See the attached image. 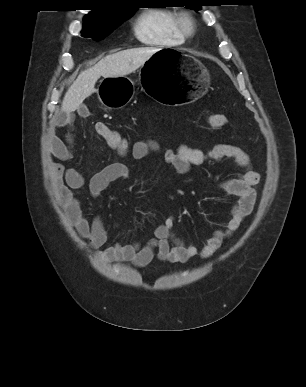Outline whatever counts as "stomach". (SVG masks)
Returning <instances> with one entry per match:
<instances>
[{"mask_svg":"<svg viewBox=\"0 0 306 387\" xmlns=\"http://www.w3.org/2000/svg\"><path fill=\"white\" fill-rule=\"evenodd\" d=\"M161 46L141 66L136 91H148L162 108H188L205 93L210 76L195 57ZM178 78V79H177ZM134 82L126 77L106 78L98 90L100 101L108 108L125 105L132 97Z\"/></svg>","mask_w":306,"mask_h":387,"instance_id":"1","label":"stomach"}]
</instances>
